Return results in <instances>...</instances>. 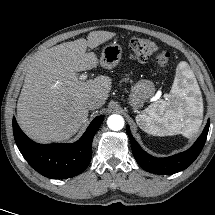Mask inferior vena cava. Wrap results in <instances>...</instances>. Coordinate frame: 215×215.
<instances>
[{"label": "inferior vena cava", "mask_w": 215, "mask_h": 215, "mask_svg": "<svg viewBox=\"0 0 215 215\" xmlns=\"http://www.w3.org/2000/svg\"><path fill=\"white\" fill-rule=\"evenodd\" d=\"M86 105H87L88 109H90V110L98 109L99 107H101L103 105V101L99 98L92 97L86 101Z\"/></svg>", "instance_id": "obj_1"}]
</instances>
